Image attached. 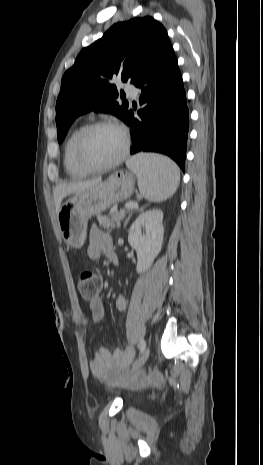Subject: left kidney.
<instances>
[{"label": "left kidney", "instance_id": "obj_1", "mask_svg": "<svg viewBox=\"0 0 263 465\" xmlns=\"http://www.w3.org/2000/svg\"><path fill=\"white\" fill-rule=\"evenodd\" d=\"M163 212L148 210L130 227L128 242L137 252V273L146 271L159 254L163 243Z\"/></svg>", "mask_w": 263, "mask_h": 465}]
</instances>
